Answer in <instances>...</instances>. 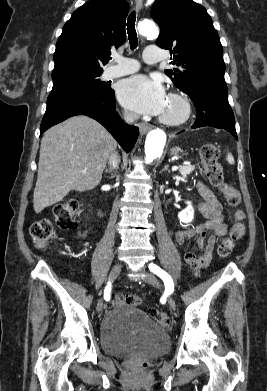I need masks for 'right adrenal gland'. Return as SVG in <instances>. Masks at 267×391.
I'll list each match as a JSON object with an SVG mask.
<instances>
[{
  "label": "right adrenal gland",
  "instance_id": "1",
  "mask_svg": "<svg viewBox=\"0 0 267 391\" xmlns=\"http://www.w3.org/2000/svg\"><path fill=\"white\" fill-rule=\"evenodd\" d=\"M112 171H110V170H106V173H111Z\"/></svg>",
  "mask_w": 267,
  "mask_h": 391
}]
</instances>
